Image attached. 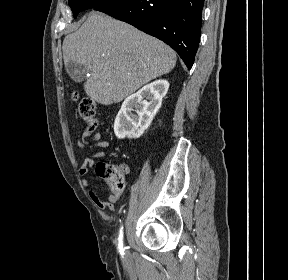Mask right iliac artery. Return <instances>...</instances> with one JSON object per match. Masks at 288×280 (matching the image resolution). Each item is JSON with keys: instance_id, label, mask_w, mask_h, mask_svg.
<instances>
[{"instance_id": "82829eb1", "label": "right iliac artery", "mask_w": 288, "mask_h": 280, "mask_svg": "<svg viewBox=\"0 0 288 280\" xmlns=\"http://www.w3.org/2000/svg\"><path fill=\"white\" fill-rule=\"evenodd\" d=\"M118 248L121 255L124 254V246H123V227L120 228L119 237H118Z\"/></svg>"}]
</instances>
